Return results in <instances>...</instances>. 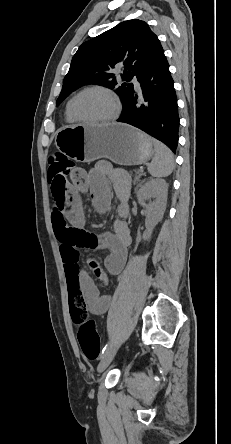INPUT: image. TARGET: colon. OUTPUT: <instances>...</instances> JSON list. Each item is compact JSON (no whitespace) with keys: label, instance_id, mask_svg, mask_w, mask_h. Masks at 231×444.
Segmentation results:
<instances>
[{"label":"colon","instance_id":"1","mask_svg":"<svg viewBox=\"0 0 231 444\" xmlns=\"http://www.w3.org/2000/svg\"><path fill=\"white\" fill-rule=\"evenodd\" d=\"M76 164L62 155L53 153L49 157L48 180L54 185L53 196H57L58 188L64 186L73 172L78 171ZM70 312L78 329V341L81 350L88 360L94 361L98 358L101 342L96 330L95 322L90 318L85 298L78 285L70 284L69 287Z\"/></svg>","mask_w":231,"mask_h":444}]
</instances>
